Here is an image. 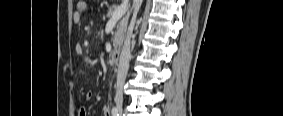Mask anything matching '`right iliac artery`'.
Listing matches in <instances>:
<instances>
[{
  "instance_id": "82829eb1",
  "label": "right iliac artery",
  "mask_w": 283,
  "mask_h": 116,
  "mask_svg": "<svg viewBox=\"0 0 283 116\" xmlns=\"http://www.w3.org/2000/svg\"><path fill=\"white\" fill-rule=\"evenodd\" d=\"M112 116H119L118 110L115 107L112 109Z\"/></svg>"
}]
</instances>
